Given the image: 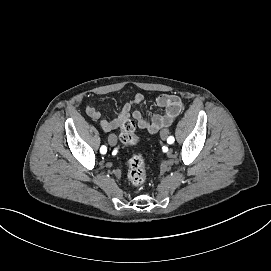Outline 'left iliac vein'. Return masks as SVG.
<instances>
[{"instance_id": "left-iliac-vein-1", "label": "left iliac vein", "mask_w": 271, "mask_h": 271, "mask_svg": "<svg viewBox=\"0 0 271 271\" xmlns=\"http://www.w3.org/2000/svg\"><path fill=\"white\" fill-rule=\"evenodd\" d=\"M169 130L167 128H164L160 131V136L162 139H166L168 137Z\"/></svg>"}]
</instances>
